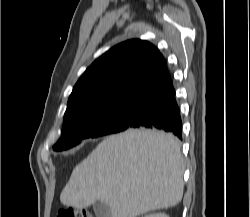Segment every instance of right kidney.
Wrapping results in <instances>:
<instances>
[{"label": "right kidney", "instance_id": "obj_1", "mask_svg": "<svg viewBox=\"0 0 250 217\" xmlns=\"http://www.w3.org/2000/svg\"><path fill=\"white\" fill-rule=\"evenodd\" d=\"M145 217H169V216L166 215L165 213H154V214L146 215Z\"/></svg>", "mask_w": 250, "mask_h": 217}]
</instances>
